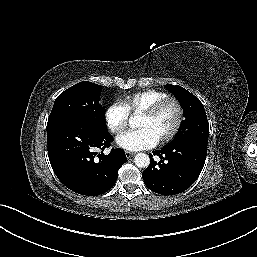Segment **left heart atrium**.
I'll return each mask as SVG.
<instances>
[{"mask_svg": "<svg viewBox=\"0 0 257 257\" xmlns=\"http://www.w3.org/2000/svg\"><path fill=\"white\" fill-rule=\"evenodd\" d=\"M159 139L148 129L127 131L117 137V143L124 149L138 151L155 147Z\"/></svg>", "mask_w": 257, "mask_h": 257, "instance_id": "obj_1", "label": "left heart atrium"}]
</instances>
